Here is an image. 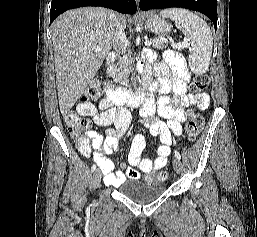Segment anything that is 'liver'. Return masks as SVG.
<instances>
[{"instance_id":"1","label":"liver","mask_w":257,"mask_h":237,"mask_svg":"<svg viewBox=\"0 0 257 237\" xmlns=\"http://www.w3.org/2000/svg\"><path fill=\"white\" fill-rule=\"evenodd\" d=\"M110 15V11L100 7L79 8L60 15L51 26L62 115L83 95L116 44ZM118 18L125 28L126 18Z\"/></svg>"}]
</instances>
